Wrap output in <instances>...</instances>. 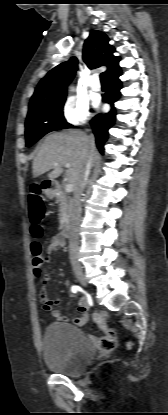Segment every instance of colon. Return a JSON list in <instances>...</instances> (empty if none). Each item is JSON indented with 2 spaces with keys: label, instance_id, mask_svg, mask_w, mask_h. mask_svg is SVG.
Masks as SVG:
<instances>
[{
  "label": "colon",
  "instance_id": "5ec220e1",
  "mask_svg": "<svg viewBox=\"0 0 168 415\" xmlns=\"http://www.w3.org/2000/svg\"><path fill=\"white\" fill-rule=\"evenodd\" d=\"M28 207L31 234L35 238H40L43 235V227L41 226L43 218V205L41 197L38 193L33 192L30 194L28 199ZM42 251L43 249L40 243L34 242L32 244V266L34 274H42L43 268L41 264L44 262V257L41 255ZM107 318L108 314L106 312H98L93 316L95 324L103 332L102 336L93 338L96 348L101 352H108L116 345V335L113 330L107 327Z\"/></svg>",
  "mask_w": 168,
  "mask_h": 415
}]
</instances>
